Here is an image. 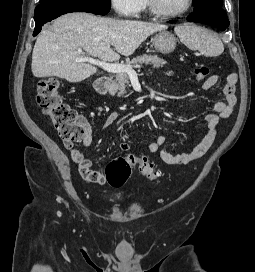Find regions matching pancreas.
Listing matches in <instances>:
<instances>
[{"label":"pancreas","instance_id":"pancreas-1","mask_svg":"<svg viewBox=\"0 0 255 272\" xmlns=\"http://www.w3.org/2000/svg\"><path fill=\"white\" fill-rule=\"evenodd\" d=\"M137 64H152L154 68H161L166 64V61L163 58L158 57L157 55L144 54L133 58L126 65L133 67ZM129 83V76L127 73H116L115 82L113 83L110 92L113 94L117 93L118 97H123L124 94L127 93V86H130Z\"/></svg>","mask_w":255,"mask_h":272}]
</instances>
